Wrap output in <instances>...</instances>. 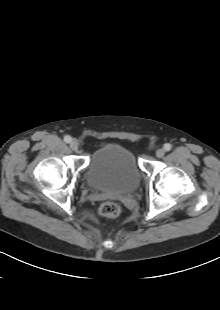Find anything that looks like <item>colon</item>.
<instances>
[{
  "mask_svg": "<svg viewBox=\"0 0 220 310\" xmlns=\"http://www.w3.org/2000/svg\"><path fill=\"white\" fill-rule=\"evenodd\" d=\"M120 211L119 205L114 202L103 203L98 210L101 216L107 218L117 217L120 214Z\"/></svg>",
  "mask_w": 220,
  "mask_h": 310,
  "instance_id": "5ec220e1",
  "label": "colon"
}]
</instances>
